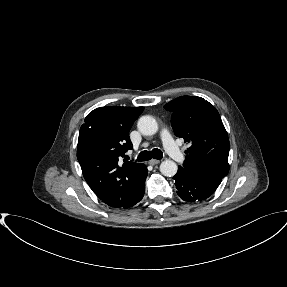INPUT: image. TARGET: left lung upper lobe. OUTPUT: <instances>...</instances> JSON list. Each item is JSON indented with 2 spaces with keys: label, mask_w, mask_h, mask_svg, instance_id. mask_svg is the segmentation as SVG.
I'll list each match as a JSON object with an SVG mask.
<instances>
[{
  "label": "left lung upper lobe",
  "mask_w": 287,
  "mask_h": 287,
  "mask_svg": "<svg viewBox=\"0 0 287 287\" xmlns=\"http://www.w3.org/2000/svg\"><path fill=\"white\" fill-rule=\"evenodd\" d=\"M164 108L172 112L175 135L191 144L179 168L194 177L222 180L229 171V139L218 111L195 96H181Z\"/></svg>",
  "instance_id": "5c2ea615"
}]
</instances>
